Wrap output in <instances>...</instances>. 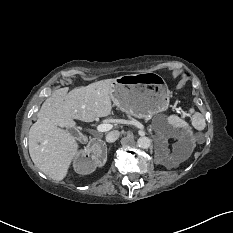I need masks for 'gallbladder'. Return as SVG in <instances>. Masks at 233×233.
<instances>
[{
  "instance_id": "bac80fb5",
  "label": "gallbladder",
  "mask_w": 233,
  "mask_h": 233,
  "mask_svg": "<svg viewBox=\"0 0 233 233\" xmlns=\"http://www.w3.org/2000/svg\"><path fill=\"white\" fill-rule=\"evenodd\" d=\"M70 134L75 135L76 134V129L75 128H68L67 129Z\"/></svg>"
}]
</instances>
